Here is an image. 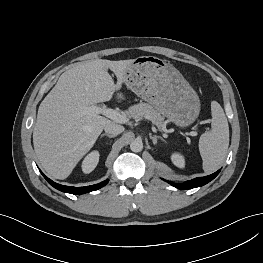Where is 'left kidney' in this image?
<instances>
[{
  "mask_svg": "<svg viewBox=\"0 0 263 263\" xmlns=\"http://www.w3.org/2000/svg\"><path fill=\"white\" fill-rule=\"evenodd\" d=\"M171 161L175 166L178 168H184L185 167V159L184 156L181 155L180 153H173L171 155Z\"/></svg>",
  "mask_w": 263,
  "mask_h": 263,
  "instance_id": "obj_1",
  "label": "left kidney"
}]
</instances>
